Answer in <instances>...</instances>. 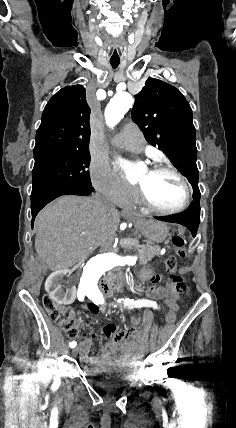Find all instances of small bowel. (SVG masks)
<instances>
[{
	"label": "small bowel",
	"instance_id": "obj_1",
	"mask_svg": "<svg viewBox=\"0 0 236 428\" xmlns=\"http://www.w3.org/2000/svg\"><path fill=\"white\" fill-rule=\"evenodd\" d=\"M157 277L152 278V284L147 287L148 308L159 310V300H164L169 307L177 305V297L168 293L163 287L156 286ZM106 307H98V311L104 313ZM153 314L147 310L143 317V324L140 329L135 327L122 330L116 329L113 324H107L103 328V334L110 340L101 349V358L93 357L89 354L93 340L96 335L88 337L86 333H81V354L80 359L83 363L95 366L103 359H120V360H139L143 356L144 345L147 339L149 326Z\"/></svg>",
	"mask_w": 236,
	"mask_h": 428
}]
</instances>
